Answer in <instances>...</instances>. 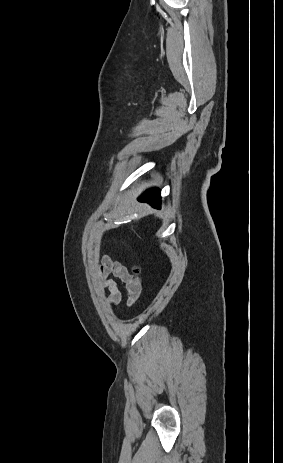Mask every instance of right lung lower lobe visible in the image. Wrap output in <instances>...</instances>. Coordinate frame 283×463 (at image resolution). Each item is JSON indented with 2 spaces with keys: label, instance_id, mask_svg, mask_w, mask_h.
Wrapping results in <instances>:
<instances>
[{
  "label": "right lung lower lobe",
  "instance_id": "right-lung-lower-lobe-1",
  "mask_svg": "<svg viewBox=\"0 0 283 463\" xmlns=\"http://www.w3.org/2000/svg\"><path fill=\"white\" fill-rule=\"evenodd\" d=\"M160 191L158 189H150L146 191L142 196L140 197V201L148 202L150 203L153 207L159 208L160 207Z\"/></svg>",
  "mask_w": 283,
  "mask_h": 463
}]
</instances>
